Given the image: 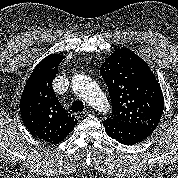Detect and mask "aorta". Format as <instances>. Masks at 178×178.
<instances>
[{
    "mask_svg": "<svg viewBox=\"0 0 178 178\" xmlns=\"http://www.w3.org/2000/svg\"><path fill=\"white\" fill-rule=\"evenodd\" d=\"M72 90L99 112L109 111V103L105 94L87 75L76 74L72 79Z\"/></svg>",
    "mask_w": 178,
    "mask_h": 178,
    "instance_id": "obj_1",
    "label": "aorta"
}]
</instances>
